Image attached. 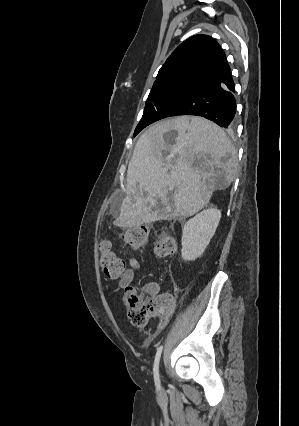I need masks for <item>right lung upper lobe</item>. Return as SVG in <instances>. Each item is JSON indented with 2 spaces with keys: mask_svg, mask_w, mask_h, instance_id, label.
I'll list each match as a JSON object with an SVG mask.
<instances>
[{
  "mask_svg": "<svg viewBox=\"0 0 299 426\" xmlns=\"http://www.w3.org/2000/svg\"><path fill=\"white\" fill-rule=\"evenodd\" d=\"M230 71L226 56L210 36L195 35L180 44L161 67L154 86L187 83L200 86Z\"/></svg>",
  "mask_w": 299,
  "mask_h": 426,
  "instance_id": "right-lung-upper-lobe-1",
  "label": "right lung upper lobe"
}]
</instances>
